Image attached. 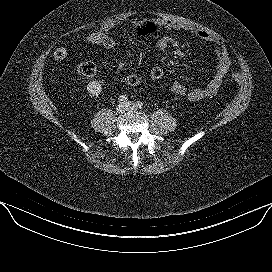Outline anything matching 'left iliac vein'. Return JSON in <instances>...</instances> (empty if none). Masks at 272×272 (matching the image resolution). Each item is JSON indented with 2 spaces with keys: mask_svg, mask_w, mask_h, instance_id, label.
Here are the masks:
<instances>
[{
  "mask_svg": "<svg viewBox=\"0 0 272 272\" xmlns=\"http://www.w3.org/2000/svg\"><path fill=\"white\" fill-rule=\"evenodd\" d=\"M126 110L130 111H135L137 110V105L131 101H129L128 103H126Z\"/></svg>",
  "mask_w": 272,
  "mask_h": 272,
  "instance_id": "left-iliac-vein-1",
  "label": "left iliac vein"
}]
</instances>
